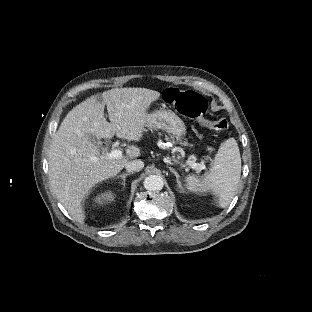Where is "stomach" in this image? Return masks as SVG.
Returning a JSON list of instances; mask_svg holds the SVG:
<instances>
[{
    "instance_id": "obj_1",
    "label": "stomach",
    "mask_w": 312,
    "mask_h": 312,
    "mask_svg": "<svg viewBox=\"0 0 312 312\" xmlns=\"http://www.w3.org/2000/svg\"><path fill=\"white\" fill-rule=\"evenodd\" d=\"M145 126L166 131L178 140L186 134L184 122L171 110L160 109L147 114Z\"/></svg>"
}]
</instances>
